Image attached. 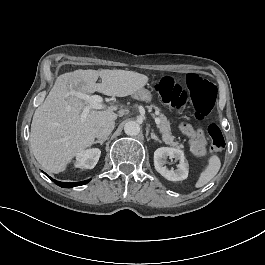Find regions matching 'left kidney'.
<instances>
[{
  "label": "left kidney",
  "instance_id": "1",
  "mask_svg": "<svg viewBox=\"0 0 265 265\" xmlns=\"http://www.w3.org/2000/svg\"><path fill=\"white\" fill-rule=\"evenodd\" d=\"M167 157L180 161L176 170L167 169L165 166ZM154 166L157 172L170 181H181L188 177V162L185 160L184 152L177 148H158L154 152Z\"/></svg>",
  "mask_w": 265,
  "mask_h": 265
}]
</instances>
